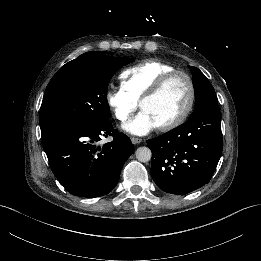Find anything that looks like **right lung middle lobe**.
<instances>
[{
	"label": "right lung middle lobe",
	"instance_id": "dd1d6c3e",
	"mask_svg": "<svg viewBox=\"0 0 261 261\" xmlns=\"http://www.w3.org/2000/svg\"><path fill=\"white\" fill-rule=\"evenodd\" d=\"M133 62L125 57L82 54L50 80L41 108L42 138L61 126H91L108 121L107 88L113 74Z\"/></svg>",
	"mask_w": 261,
	"mask_h": 261
}]
</instances>
